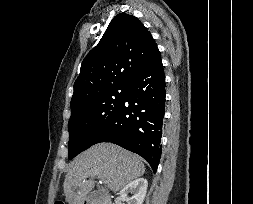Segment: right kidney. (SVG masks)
Instances as JSON below:
<instances>
[{
	"instance_id": "right-kidney-1",
	"label": "right kidney",
	"mask_w": 253,
	"mask_h": 204,
	"mask_svg": "<svg viewBox=\"0 0 253 204\" xmlns=\"http://www.w3.org/2000/svg\"><path fill=\"white\" fill-rule=\"evenodd\" d=\"M148 182L144 178H138L127 184L121 191L120 197L128 204H143L146 196ZM129 194L132 196L129 197Z\"/></svg>"
}]
</instances>
